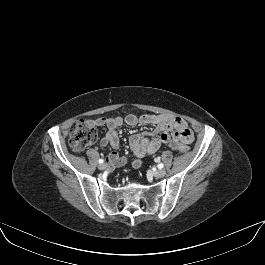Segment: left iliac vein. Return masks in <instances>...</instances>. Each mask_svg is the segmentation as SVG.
Returning <instances> with one entry per match:
<instances>
[{
  "instance_id": "left-iliac-vein-1",
  "label": "left iliac vein",
  "mask_w": 265,
  "mask_h": 265,
  "mask_svg": "<svg viewBox=\"0 0 265 265\" xmlns=\"http://www.w3.org/2000/svg\"><path fill=\"white\" fill-rule=\"evenodd\" d=\"M152 174L156 178H162L166 175V171L163 169H158V170L153 171Z\"/></svg>"
}]
</instances>
